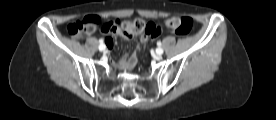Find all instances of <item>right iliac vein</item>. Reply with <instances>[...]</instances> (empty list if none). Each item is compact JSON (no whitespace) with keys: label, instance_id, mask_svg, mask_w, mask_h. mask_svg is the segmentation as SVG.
I'll list each match as a JSON object with an SVG mask.
<instances>
[{"label":"right iliac vein","instance_id":"63e3f726","mask_svg":"<svg viewBox=\"0 0 276 120\" xmlns=\"http://www.w3.org/2000/svg\"><path fill=\"white\" fill-rule=\"evenodd\" d=\"M99 50L100 51H104L105 50V45L103 44V45H99Z\"/></svg>","mask_w":276,"mask_h":120}]
</instances>
